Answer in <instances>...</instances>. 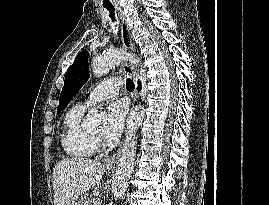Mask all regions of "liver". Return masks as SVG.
Masks as SVG:
<instances>
[{"label":"liver","mask_w":269,"mask_h":205,"mask_svg":"<svg viewBox=\"0 0 269 205\" xmlns=\"http://www.w3.org/2000/svg\"><path fill=\"white\" fill-rule=\"evenodd\" d=\"M103 170L100 162L84 158L58 161L52 177L55 205H75L80 195L100 182Z\"/></svg>","instance_id":"obj_1"}]
</instances>
